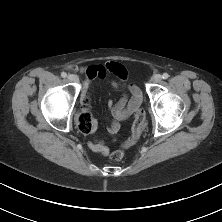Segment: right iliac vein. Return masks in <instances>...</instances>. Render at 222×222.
<instances>
[{
  "instance_id": "1",
  "label": "right iliac vein",
  "mask_w": 222,
  "mask_h": 222,
  "mask_svg": "<svg viewBox=\"0 0 222 222\" xmlns=\"http://www.w3.org/2000/svg\"><path fill=\"white\" fill-rule=\"evenodd\" d=\"M68 79H69V81H71V82H78V76L77 75H74V74H69L68 75Z\"/></svg>"
}]
</instances>
